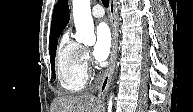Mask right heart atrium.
Returning <instances> with one entry per match:
<instances>
[{
	"label": "right heart atrium",
	"mask_w": 193,
	"mask_h": 112,
	"mask_svg": "<svg viewBox=\"0 0 193 112\" xmlns=\"http://www.w3.org/2000/svg\"><path fill=\"white\" fill-rule=\"evenodd\" d=\"M84 60H85V63H89V61H90L89 55L87 52H84Z\"/></svg>",
	"instance_id": "1"
}]
</instances>
